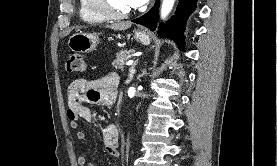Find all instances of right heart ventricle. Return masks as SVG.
I'll return each instance as SVG.
<instances>
[{
    "label": "right heart ventricle",
    "mask_w": 277,
    "mask_h": 166,
    "mask_svg": "<svg viewBox=\"0 0 277 166\" xmlns=\"http://www.w3.org/2000/svg\"><path fill=\"white\" fill-rule=\"evenodd\" d=\"M79 14L83 21L88 23H103L105 21L104 18L94 14L91 12L85 3V0H79Z\"/></svg>",
    "instance_id": "right-heart-ventricle-1"
}]
</instances>
